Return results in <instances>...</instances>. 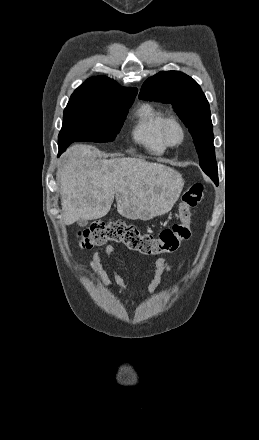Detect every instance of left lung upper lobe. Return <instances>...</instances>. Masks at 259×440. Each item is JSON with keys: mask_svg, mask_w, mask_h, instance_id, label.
I'll return each instance as SVG.
<instances>
[{"mask_svg": "<svg viewBox=\"0 0 259 440\" xmlns=\"http://www.w3.org/2000/svg\"><path fill=\"white\" fill-rule=\"evenodd\" d=\"M139 98L172 104L193 137L202 170L217 182L210 107L196 81L182 72H160L147 79Z\"/></svg>", "mask_w": 259, "mask_h": 440, "instance_id": "1", "label": "left lung upper lobe"}]
</instances>
